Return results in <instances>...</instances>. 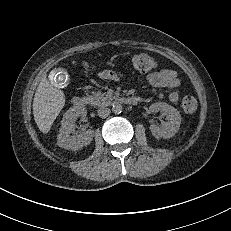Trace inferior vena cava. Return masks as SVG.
Here are the masks:
<instances>
[{
  "instance_id": "obj_1",
  "label": "inferior vena cava",
  "mask_w": 231,
  "mask_h": 231,
  "mask_svg": "<svg viewBox=\"0 0 231 231\" xmlns=\"http://www.w3.org/2000/svg\"><path fill=\"white\" fill-rule=\"evenodd\" d=\"M110 109L109 108H106V107H103V108H100L98 110V116L101 117V118H106L108 117V115L110 114Z\"/></svg>"
}]
</instances>
